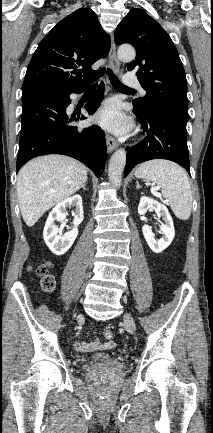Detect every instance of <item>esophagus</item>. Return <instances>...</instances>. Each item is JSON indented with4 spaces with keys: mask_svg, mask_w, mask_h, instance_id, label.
<instances>
[{
    "mask_svg": "<svg viewBox=\"0 0 213 433\" xmlns=\"http://www.w3.org/2000/svg\"><path fill=\"white\" fill-rule=\"evenodd\" d=\"M109 64H110V67L112 68V70L115 73H118L120 63H119V60L116 56V45H115L113 36L111 38V47H110V52H109ZM107 82H108V79H107ZM106 144H107V149L109 152H112L113 150H115L118 147L117 141L109 134L106 135Z\"/></svg>",
    "mask_w": 213,
    "mask_h": 433,
    "instance_id": "1",
    "label": "esophagus"
}]
</instances>
